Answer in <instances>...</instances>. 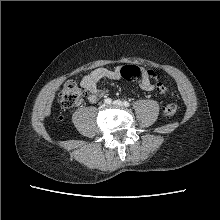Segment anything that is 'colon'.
Returning a JSON list of instances; mask_svg holds the SVG:
<instances>
[{"instance_id": "5ec220e1", "label": "colon", "mask_w": 220, "mask_h": 220, "mask_svg": "<svg viewBox=\"0 0 220 220\" xmlns=\"http://www.w3.org/2000/svg\"><path fill=\"white\" fill-rule=\"evenodd\" d=\"M141 75V70L134 65H126L121 68L120 76L127 81H134ZM148 76L150 79L158 81L159 76L153 70H148ZM157 91L160 94L167 93L168 89L165 85L159 84ZM83 95L81 87L74 81H69L65 84L62 91L59 94V105L63 109L73 107L78 103ZM178 107L176 104H167L163 109V114L166 117H172L176 114Z\"/></svg>"}]
</instances>
